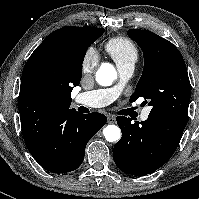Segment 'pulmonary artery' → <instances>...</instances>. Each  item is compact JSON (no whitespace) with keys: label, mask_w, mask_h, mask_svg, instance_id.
Wrapping results in <instances>:
<instances>
[{"label":"pulmonary artery","mask_w":199,"mask_h":199,"mask_svg":"<svg viewBox=\"0 0 199 199\" xmlns=\"http://www.w3.org/2000/svg\"><path fill=\"white\" fill-rule=\"evenodd\" d=\"M134 68V64L118 67L122 82L128 80L132 76ZM121 91L122 85L119 84L107 89L82 92L76 96L75 103L90 108L106 106L116 100L119 97ZM149 113L150 109L145 108L140 115L141 120H147Z\"/></svg>","instance_id":"e3ab8cb5"}]
</instances>
